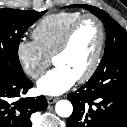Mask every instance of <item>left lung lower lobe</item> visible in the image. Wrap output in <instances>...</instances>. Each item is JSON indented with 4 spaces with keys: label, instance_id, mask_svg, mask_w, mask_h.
<instances>
[{
    "label": "left lung lower lobe",
    "instance_id": "0a47b994",
    "mask_svg": "<svg viewBox=\"0 0 127 127\" xmlns=\"http://www.w3.org/2000/svg\"><path fill=\"white\" fill-rule=\"evenodd\" d=\"M67 127H127V58L111 62L68 95Z\"/></svg>",
    "mask_w": 127,
    "mask_h": 127
}]
</instances>
